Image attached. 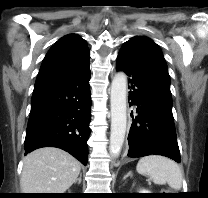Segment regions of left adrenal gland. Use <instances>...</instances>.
<instances>
[{"label": "left adrenal gland", "instance_id": "1", "mask_svg": "<svg viewBox=\"0 0 208 198\" xmlns=\"http://www.w3.org/2000/svg\"><path fill=\"white\" fill-rule=\"evenodd\" d=\"M132 177V171H129L124 177L123 180H125L127 177Z\"/></svg>", "mask_w": 208, "mask_h": 198}]
</instances>
